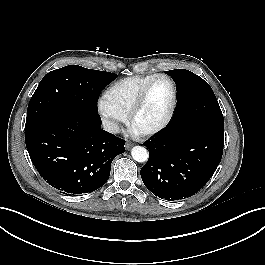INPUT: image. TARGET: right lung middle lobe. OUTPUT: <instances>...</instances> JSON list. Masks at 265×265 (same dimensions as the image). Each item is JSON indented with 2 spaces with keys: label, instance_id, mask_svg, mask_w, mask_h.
I'll use <instances>...</instances> for the list:
<instances>
[{
  "label": "right lung middle lobe",
  "instance_id": "right-lung-middle-lobe-1",
  "mask_svg": "<svg viewBox=\"0 0 265 265\" xmlns=\"http://www.w3.org/2000/svg\"><path fill=\"white\" fill-rule=\"evenodd\" d=\"M117 75L68 65L47 73L30 99L25 130L69 109L98 114L101 89Z\"/></svg>",
  "mask_w": 265,
  "mask_h": 265
}]
</instances>
